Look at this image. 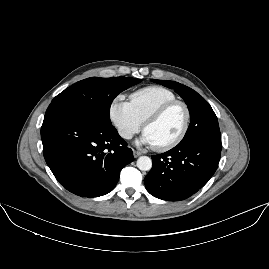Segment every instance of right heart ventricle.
<instances>
[{
	"instance_id": "1",
	"label": "right heart ventricle",
	"mask_w": 269,
	"mask_h": 269,
	"mask_svg": "<svg viewBox=\"0 0 269 269\" xmlns=\"http://www.w3.org/2000/svg\"><path fill=\"white\" fill-rule=\"evenodd\" d=\"M131 107L137 118L143 123L147 115L164 103L176 100V95L161 86H151L133 92L130 96Z\"/></svg>"
}]
</instances>
